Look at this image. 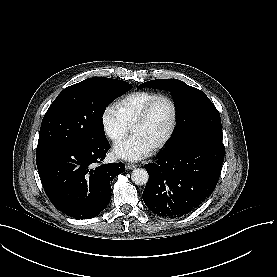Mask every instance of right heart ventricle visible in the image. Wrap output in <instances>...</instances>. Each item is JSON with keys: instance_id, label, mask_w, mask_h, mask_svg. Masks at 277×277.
Segmentation results:
<instances>
[{"instance_id": "e07e8e85", "label": "right heart ventricle", "mask_w": 277, "mask_h": 277, "mask_svg": "<svg viewBox=\"0 0 277 277\" xmlns=\"http://www.w3.org/2000/svg\"><path fill=\"white\" fill-rule=\"evenodd\" d=\"M154 98L155 94L149 92H134L125 96L124 99L117 104V108L126 122H133Z\"/></svg>"}]
</instances>
